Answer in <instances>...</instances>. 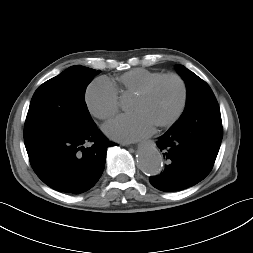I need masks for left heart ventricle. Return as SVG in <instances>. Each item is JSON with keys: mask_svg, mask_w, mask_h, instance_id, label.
I'll list each match as a JSON object with an SVG mask.
<instances>
[{"mask_svg": "<svg viewBox=\"0 0 253 253\" xmlns=\"http://www.w3.org/2000/svg\"><path fill=\"white\" fill-rule=\"evenodd\" d=\"M180 97L181 89L178 82L173 79H165L145 97H134L130 110L134 113H143L156 126L174 114Z\"/></svg>", "mask_w": 253, "mask_h": 253, "instance_id": "b2bd125f", "label": "left heart ventricle"}]
</instances>
